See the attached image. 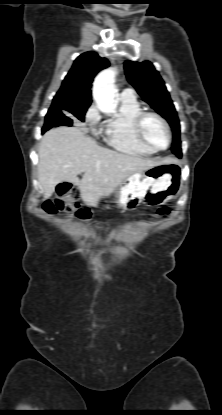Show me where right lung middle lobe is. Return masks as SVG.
<instances>
[{"mask_svg":"<svg viewBox=\"0 0 222 415\" xmlns=\"http://www.w3.org/2000/svg\"><path fill=\"white\" fill-rule=\"evenodd\" d=\"M90 105H68L59 106L57 108L51 107L46 115V125L49 129L53 126H72L73 120L70 116H74L81 121H84L85 113Z\"/></svg>","mask_w":222,"mask_h":415,"instance_id":"right-lung-middle-lobe-1","label":"right lung middle lobe"}]
</instances>
